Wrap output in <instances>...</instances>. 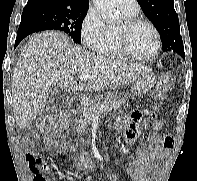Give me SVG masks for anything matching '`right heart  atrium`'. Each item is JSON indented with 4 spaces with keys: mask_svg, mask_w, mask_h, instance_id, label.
Instances as JSON below:
<instances>
[{
    "mask_svg": "<svg viewBox=\"0 0 197 181\" xmlns=\"http://www.w3.org/2000/svg\"><path fill=\"white\" fill-rule=\"evenodd\" d=\"M108 33L109 27L99 12L90 7L81 23V38L84 44L92 50H100L108 38Z\"/></svg>",
    "mask_w": 197,
    "mask_h": 181,
    "instance_id": "right-heart-atrium-1",
    "label": "right heart atrium"
}]
</instances>
